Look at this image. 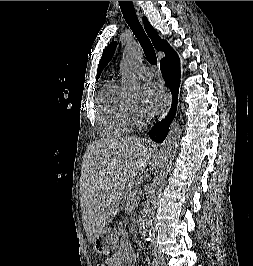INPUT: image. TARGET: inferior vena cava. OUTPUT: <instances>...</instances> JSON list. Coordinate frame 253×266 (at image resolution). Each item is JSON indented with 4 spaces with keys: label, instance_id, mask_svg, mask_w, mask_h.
<instances>
[{
    "label": "inferior vena cava",
    "instance_id": "602c4592",
    "mask_svg": "<svg viewBox=\"0 0 253 266\" xmlns=\"http://www.w3.org/2000/svg\"><path fill=\"white\" fill-rule=\"evenodd\" d=\"M154 238H155V232L152 231V242H154ZM153 256L157 261H162L163 259L161 253L156 248H154L153 250Z\"/></svg>",
    "mask_w": 253,
    "mask_h": 266
}]
</instances>
